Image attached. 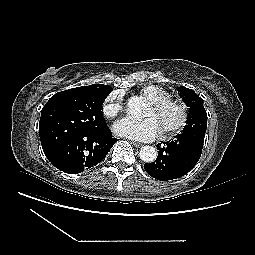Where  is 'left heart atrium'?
<instances>
[{
  "mask_svg": "<svg viewBox=\"0 0 255 255\" xmlns=\"http://www.w3.org/2000/svg\"><path fill=\"white\" fill-rule=\"evenodd\" d=\"M113 129L116 134L137 141H151L162 133V128L154 117H147L143 120L126 117L117 121Z\"/></svg>",
  "mask_w": 255,
  "mask_h": 255,
  "instance_id": "left-heart-atrium-1",
  "label": "left heart atrium"
}]
</instances>
